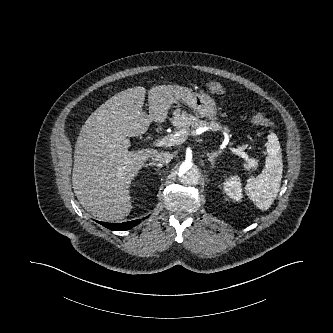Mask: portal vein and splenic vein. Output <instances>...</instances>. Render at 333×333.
I'll list each match as a JSON object with an SVG mask.
<instances>
[{
    "label": "portal vein and splenic vein",
    "mask_w": 333,
    "mask_h": 333,
    "mask_svg": "<svg viewBox=\"0 0 333 333\" xmlns=\"http://www.w3.org/2000/svg\"><path fill=\"white\" fill-rule=\"evenodd\" d=\"M185 135H186V131L181 130V131L176 132L175 134H171L170 136H165L161 139H158L155 142H153V144L155 146H167V147L174 146V145H180L183 142V138L185 137ZM231 151L233 153L239 155L246 161L250 160L247 153L243 152V150L241 148H231Z\"/></svg>",
    "instance_id": "18ae733b"
}]
</instances>
